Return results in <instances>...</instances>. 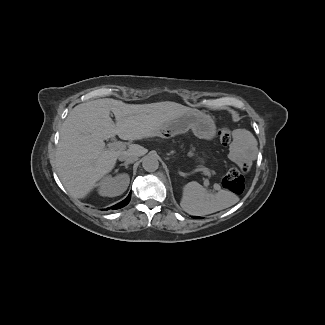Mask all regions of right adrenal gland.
I'll return each mask as SVG.
<instances>
[{"mask_svg": "<svg viewBox=\"0 0 325 325\" xmlns=\"http://www.w3.org/2000/svg\"><path fill=\"white\" fill-rule=\"evenodd\" d=\"M120 166H125V168L127 169L128 168V163H122V164H120Z\"/></svg>", "mask_w": 325, "mask_h": 325, "instance_id": "right-adrenal-gland-1", "label": "right adrenal gland"}]
</instances>
